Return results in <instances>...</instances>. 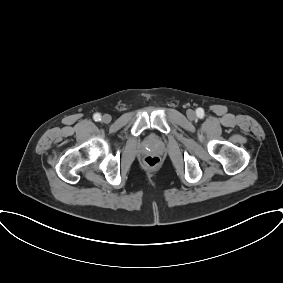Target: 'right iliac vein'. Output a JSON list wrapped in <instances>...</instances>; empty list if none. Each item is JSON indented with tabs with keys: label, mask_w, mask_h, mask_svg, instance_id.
I'll use <instances>...</instances> for the list:
<instances>
[{
	"label": "right iliac vein",
	"mask_w": 283,
	"mask_h": 283,
	"mask_svg": "<svg viewBox=\"0 0 283 283\" xmlns=\"http://www.w3.org/2000/svg\"><path fill=\"white\" fill-rule=\"evenodd\" d=\"M111 121V116L109 114H104L102 116V122L108 124Z\"/></svg>",
	"instance_id": "1"
}]
</instances>
